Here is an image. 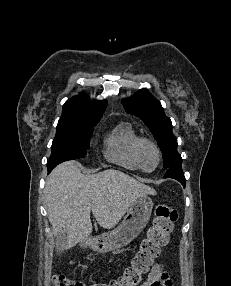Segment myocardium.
<instances>
[{
  "mask_svg": "<svg viewBox=\"0 0 231 286\" xmlns=\"http://www.w3.org/2000/svg\"><path fill=\"white\" fill-rule=\"evenodd\" d=\"M146 145L152 147L154 149V151L156 152V155H157V164L152 170L145 169L143 167L142 161H141L142 148ZM134 158H135L137 166L139 167L140 170H142L144 172H153L161 164L162 154H161V150H160L158 144L155 141H153L152 139L147 138V137H140L135 144Z\"/></svg>",
  "mask_w": 231,
  "mask_h": 286,
  "instance_id": "obj_1",
  "label": "myocardium"
}]
</instances>
